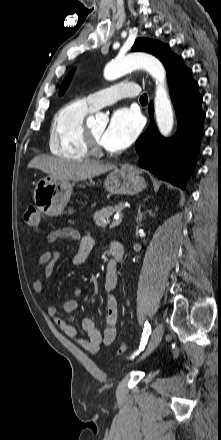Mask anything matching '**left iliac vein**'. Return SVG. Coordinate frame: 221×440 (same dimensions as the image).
<instances>
[{
  "label": "left iliac vein",
  "instance_id": "obj_1",
  "mask_svg": "<svg viewBox=\"0 0 221 440\" xmlns=\"http://www.w3.org/2000/svg\"><path fill=\"white\" fill-rule=\"evenodd\" d=\"M164 333V327L162 323L157 324L155 329L152 332L151 340L148 346V349L143 354L142 358H145L148 354H150L160 343L162 336Z\"/></svg>",
  "mask_w": 221,
  "mask_h": 440
}]
</instances>
